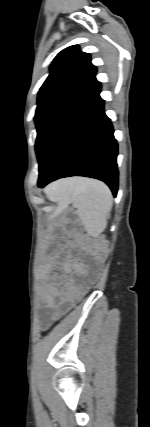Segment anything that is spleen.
Masks as SVG:
<instances>
[{"instance_id": "3e777b00", "label": "spleen", "mask_w": 150, "mask_h": 427, "mask_svg": "<svg viewBox=\"0 0 150 427\" xmlns=\"http://www.w3.org/2000/svg\"><path fill=\"white\" fill-rule=\"evenodd\" d=\"M49 199L72 203L90 236H98L107 226V216L113 206L110 189L103 182L88 178H72L49 187Z\"/></svg>"}]
</instances>
